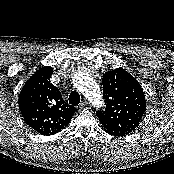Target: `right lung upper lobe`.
<instances>
[{
    "instance_id": "cb5924a9",
    "label": "right lung upper lobe",
    "mask_w": 174,
    "mask_h": 174,
    "mask_svg": "<svg viewBox=\"0 0 174 174\" xmlns=\"http://www.w3.org/2000/svg\"><path fill=\"white\" fill-rule=\"evenodd\" d=\"M53 68L42 66L25 83L18 104L24 121L42 135H53L64 129L76 108L64 102L58 88L50 83Z\"/></svg>"
}]
</instances>
